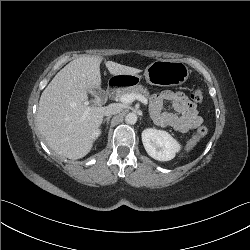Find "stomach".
<instances>
[{
	"label": "stomach",
	"instance_id": "stomach-1",
	"mask_svg": "<svg viewBox=\"0 0 250 250\" xmlns=\"http://www.w3.org/2000/svg\"><path fill=\"white\" fill-rule=\"evenodd\" d=\"M122 78L121 86L133 87L140 80L138 74L114 75ZM189 76L188 67L180 62L173 60H156L146 67L144 77L149 84L157 86H176L186 82Z\"/></svg>",
	"mask_w": 250,
	"mask_h": 250
}]
</instances>
